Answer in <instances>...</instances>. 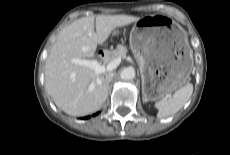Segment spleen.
Instances as JSON below:
<instances>
[{
  "mask_svg": "<svg viewBox=\"0 0 230 155\" xmlns=\"http://www.w3.org/2000/svg\"><path fill=\"white\" fill-rule=\"evenodd\" d=\"M192 93L193 85L189 83L176 90L172 96L168 95L156 102L155 108L158 109V117H169L178 112L188 102Z\"/></svg>",
  "mask_w": 230,
  "mask_h": 155,
  "instance_id": "obj_1",
  "label": "spleen"
}]
</instances>
